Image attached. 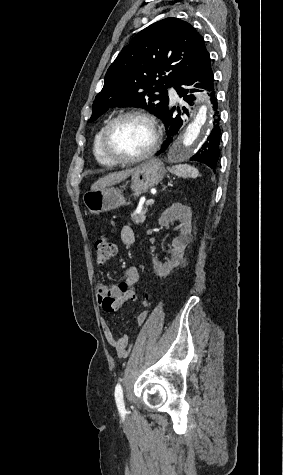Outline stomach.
<instances>
[{
	"label": "stomach",
	"instance_id": "obj_1",
	"mask_svg": "<svg viewBox=\"0 0 283 475\" xmlns=\"http://www.w3.org/2000/svg\"><path fill=\"white\" fill-rule=\"evenodd\" d=\"M164 174L165 170L160 160H146L134 168L131 174L132 192L135 196L145 194L149 188H154L161 182ZM83 202L91 214H100V212H109V210L124 206L126 198L115 188H103L98 192H86Z\"/></svg>",
	"mask_w": 283,
	"mask_h": 475
}]
</instances>
